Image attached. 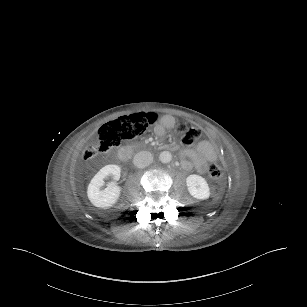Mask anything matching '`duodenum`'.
Listing matches in <instances>:
<instances>
[{
  "instance_id": "1",
  "label": "duodenum",
  "mask_w": 307,
  "mask_h": 307,
  "mask_svg": "<svg viewBox=\"0 0 307 307\" xmlns=\"http://www.w3.org/2000/svg\"><path fill=\"white\" fill-rule=\"evenodd\" d=\"M135 146H137L136 143H130V144H128V145H126V146H124V147L118 149V150L116 151V153H115L116 159H117L118 161H120V162H125V161L128 159V157H129V155H130L132 149H133Z\"/></svg>"
}]
</instances>
